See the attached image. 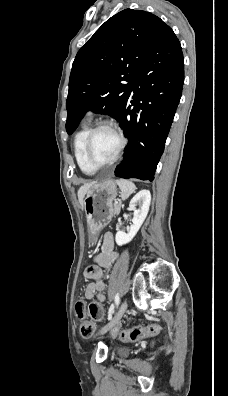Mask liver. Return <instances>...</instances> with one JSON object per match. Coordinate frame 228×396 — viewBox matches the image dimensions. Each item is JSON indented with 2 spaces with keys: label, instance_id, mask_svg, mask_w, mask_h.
Instances as JSON below:
<instances>
[{
  "label": "liver",
  "instance_id": "liver-1",
  "mask_svg": "<svg viewBox=\"0 0 228 396\" xmlns=\"http://www.w3.org/2000/svg\"><path fill=\"white\" fill-rule=\"evenodd\" d=\"M91 184L86 183V184L82 185L78 190V200H79V203L81 204L82 208L84 207V197H85L86 191Z\"/></svg>",
  "mask_w": 228,
  "mask_h": 396
}]
</instances>
